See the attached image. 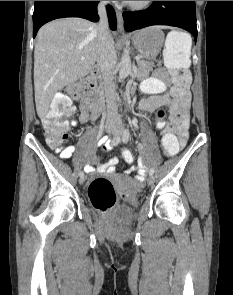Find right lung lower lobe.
Listing matches in <instances>:
<instances>
[{"label":"right lung lower lobe","mask_w":233,"mask_h":295,"mask_svg":"<svg viewBox=\"0 0 233 295\" xmlns=\"http://www.w3.org/2000/svg\"><path fill=\"white\" fill-rule=\"evenodd\" d=\"M99 1H35L33 13V37L39 28L48 21L62 17H82L98 21L97 4ZM109 25L112 30L117 28L114 9L107 5Z\"/></svg>","instance_id":"right-lung-lower-lobe-1"}]
</instances>
